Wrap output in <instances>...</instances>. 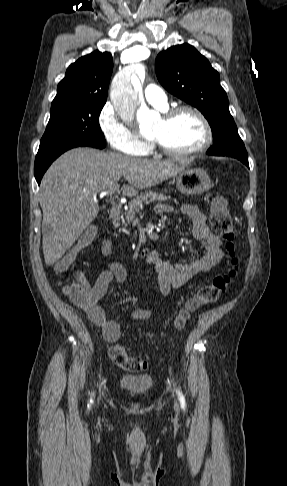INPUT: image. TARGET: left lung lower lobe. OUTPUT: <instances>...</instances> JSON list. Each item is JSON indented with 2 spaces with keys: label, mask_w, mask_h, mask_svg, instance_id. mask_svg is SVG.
<instances>
[{
  "label": "left lung lower lobe",
  "mask_w": 287,
  "mask_h": 486,
  "mask_svg": "<svg viewBox=\"0 0 287 486\" xmlns=\"http://www.w3.org/2000/svg\"><path fill=\"white\" fill-rule=\"evenodd\" d=\"M236 158V157H234ZM239 159L240 161H242L247 167H249V164H248V157H239L237 158Z\"/></svg>",
  "instance_id": "left-lung-lower-lobe-1"
}]
</instances>
